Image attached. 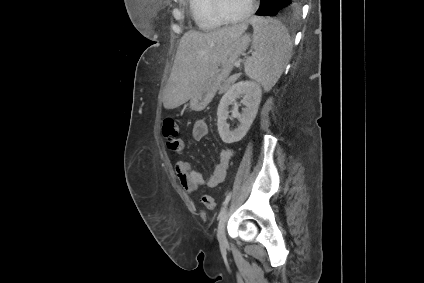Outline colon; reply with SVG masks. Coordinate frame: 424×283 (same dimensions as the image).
I'll list each match as a JSON object with an SVG mask.
<instances>
[{
	"label": "colon",
	"instance_id": "colon-1",
	"mask_svg": "<svg viewBox=\"0 0 424 283\" xmlns=\"http://www.w3.org/2000/svg\"><path fill=\"white\" fill-rule=\"evenodd\" d=\"M162 133L170 145L172 151H181L183 147L182 141L179 139V126L177 119L174 116H166L162 124ZM202 203L209 210H214L216 207L214 199L210 195L202 196Z\"/></svg>",
	"mask_w": 424,
	"mask_h": 283
}]
</instances>
